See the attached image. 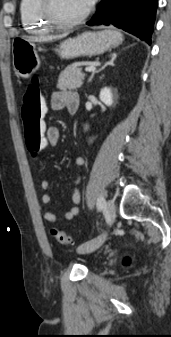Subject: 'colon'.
I'll use <instances>...</instances> for the list:
<instances>
[{"label":"colon","instance_id":"obj_1","mask_svg":"<svg viewBox=\"0 0 171 337\" xmlns=\"http://www.w3.org/2000/svg\"><path fill=\"white\" fill-rule=\"evenodd\" d=\"M41 94L38 78H33L26 87L23 95L22 118L26 148L32 155L41 152L45 147L44 126L48 116V100ZM51 235L60 244H70V236L62 230L52 228Z\"/></svg>","mask_w":171,"mask_h":337}]
</instances>
